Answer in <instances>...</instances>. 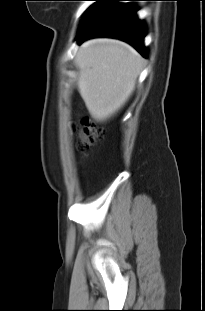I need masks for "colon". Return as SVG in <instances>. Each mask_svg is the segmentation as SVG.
Segmentation results:
<instances>
[{
	"mask_svg": "<svg viewBox=\"0 0 205 311\" xmlns=\"http://www.w3.org/2000/svg\"><path fill=\"white\" fill-rule=\"evenodd\" d=\"M104 135L102 128L97 126L89 119H84L81 122L79 131L80 143L79 149L82 152H88L92 149L96 141L100 140Z\"/></svg>",
	"mask_w": 205,
	"mask_h": 311,
	"instance_id": "obj_1",
	"label": "colon"
}]
</instances>
